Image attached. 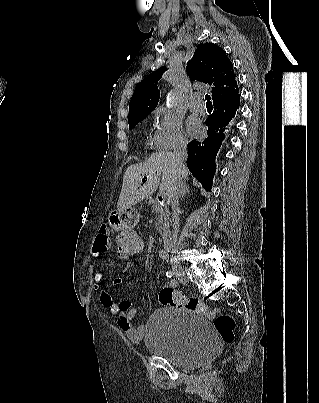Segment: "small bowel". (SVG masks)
Wrapping results in <instances>:
<instances>
[{"instance_id":"obj_1","label":"small bowel","mask_w":319,"mask_h":403,"mask_svg":"<svg viewBox=\"0 0 319 403\" xmlns=\"http://www.w3.org/2000/svg\"><path fill=\"white\" fill-rule=\"evenodd\" d=\"M136 234V233H135ZM109 232L105 227L100 228L97 238L95 240L94 246L92 248L91 256L93 258L101 257L109 248ZM145 246V243H144ZM168 257L167 253L162 251L160 253V258L166 260ZM96 278L98 279L97 288L101 290V302L107 307L112 315L117 321V325L124 332L127 338L134 342L139 343L144 339L146 329L144 326H134L132 319L136 314V308L133 307L132 303L128 300L122 301L120 303H115L112 296L104 290V273L99 270L96 273ZM123 279L121 277L115 278L113 280V286L119 289L123 286ZM170 286L174 287V281L170 282Z\"/></svg>"}]
</instances>
